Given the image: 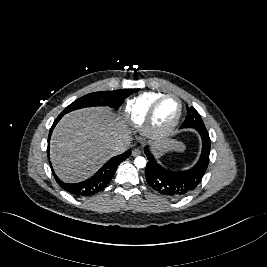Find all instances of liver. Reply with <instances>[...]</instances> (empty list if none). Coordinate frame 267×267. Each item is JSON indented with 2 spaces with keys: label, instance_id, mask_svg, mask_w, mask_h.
Instances as JSON below:
<instances>
[{
  "label": "liver",
  "instance_id": "1",
  "mask_svg": "<svg viewBox=\"0 0 267 267\" xmlns=\"http://www.w3.org/2000/svg\"><path fill=\"white\" fill-rule=\"evenodd\" d=\"M130 132L121 118L104 107L85 108L65 115L53 131L51 162L66 182L81 181L114 156L118 143L130 144ZM176 141H163L159 152L178 149Z\"/></svg>",
  "mask_w": 267,
  "mask_h": 267
}]
</instances>
